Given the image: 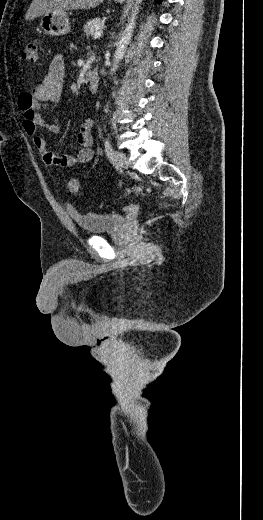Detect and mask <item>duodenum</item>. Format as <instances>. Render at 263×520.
Here are the masks:
<instances>
[{"mask_svg": "<svg viewBox=\"0 0 263 520\" xmlns=\"http://www.w3.org/2000/svg\"><path fill=\"white\" fill-rule=\"evenodd\" d=\"M89 90L91 93H96L99 89V77L95 71H91L86 76Z\"/></svg>", "mask_w": 263, "mask_h": 520, "instance_id": "duodenum-1", "label": "duodenum"}]
</instances>
